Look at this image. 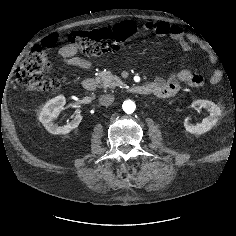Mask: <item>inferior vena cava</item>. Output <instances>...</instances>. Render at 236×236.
<instances>
[{
  "mask_svg": "<svg viewBox=\"0 0 236 236\" xmlns=\"http://www.w3.org/2000/svg\"><path fill=\"white\" fill-rule=\"evenodd\" d=\"M99 101L103 106H110L114 102V97L110 94L102 95Z\"/></svg>",
  "mask_w": 236,
  "mask_h": 236,
  "instance_id": "602c4592",
  "label": "inferior vena cava"
}]
</instances>
